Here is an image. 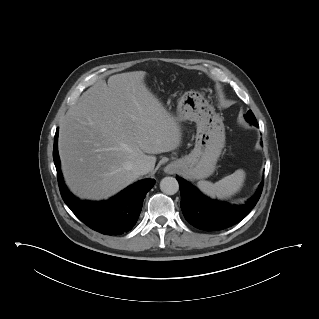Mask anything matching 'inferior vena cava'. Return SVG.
Masks as SVG:
<instances>
[{
  "mask_svg": "<svg viewBox=\"0 0 319 319\" xmlns=\"http://www.w3.org/2000/svg\"><path fill=\"white\" fill-rule=\"evenodd\" d=\"M132 170L136 175H144L151 170V164L147 160H138L133 165Z\"/></svg>",
  "mask_w": 319,
  "mask_h": 319,
  "instance_id": "obj_1",
  "label": "inferior vena cava"
}]
</instances>
